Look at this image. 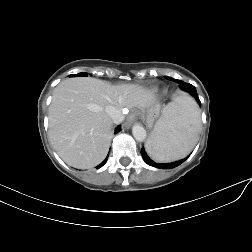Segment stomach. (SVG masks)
Returning <instances> with one entry per match:
<instances>
[{"instance_id": "stomach-1", "label": "stomach", "mask_w": 252, "mask_h": 252, "mask_svg": "<svg viewBox=\"0 0 252 252\" xmlns=\"http://www.w3.org/2000/svg\"><path fill=\"white\" fill-rule=\"evenodd\" d=\"M159 115V108L154 106L151 109H148L147 122L149 125H152L155 118Z\"/></svg>"}]
</instances>
